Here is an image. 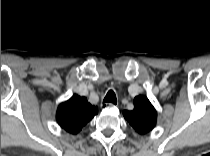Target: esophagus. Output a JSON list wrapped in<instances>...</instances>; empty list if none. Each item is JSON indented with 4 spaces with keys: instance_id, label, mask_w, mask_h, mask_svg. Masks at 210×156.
<instances>
[{
    "instance_id": "obj_1",
    "label": "esophagus",
    "mask_w": 210,
    "mask_h": 156,
    "mask_svg": "<svg viewBox=\"0 0 210 156\" xmlns=\"http://www.w3.org/2000/svg\"><path fill=\"white\" fill-rule=\"evenodd\" d=\"M100 107H101L102 109H106V108H109V107H115V104H113V103H108V102H103V103H101Z\"/></svg>"
}]
</instances>
